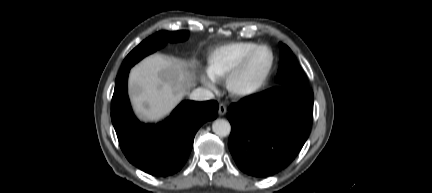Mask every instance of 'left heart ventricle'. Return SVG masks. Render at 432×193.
I'll return each instance as SVG.
<instances>
[{
  "label": "left heart ventricle",
  "instance_id": "obj_1",
  "mask_svg": "<svg viewBox=\"0 0 432 193\" xmlns=\"http://www.w3.org/2000/svg\"><path fill=\"white\" fill-rule=\"evenodd\" d=\"M271 62V54L267 49L260 50L250 61L239 78L243 86H251L258 83L266 74Z\"/></svg>",
  "mask_w": 432,
  "mask_h": 193
}]
</instances>
